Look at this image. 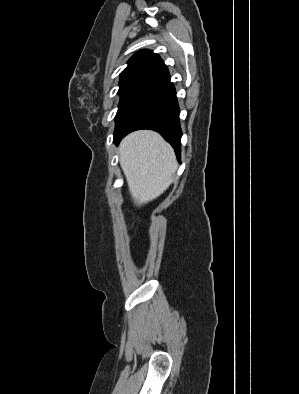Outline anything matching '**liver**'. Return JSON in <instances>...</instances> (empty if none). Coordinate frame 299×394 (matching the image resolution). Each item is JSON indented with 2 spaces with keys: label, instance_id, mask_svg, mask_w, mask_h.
Here are the masks:
<instances>
[{
  "label": "liver",
  "instance_id": "liver-1",
  "mask_svg": "<svg viewBox=\"0 0 299 394\" xmlns=\"http://www.w3.org/2000/svg\"><path fill=\"white\" fill-rule=\"evenodd\" d=\"M120 165L134 204L141 206L160 196L177 170L173 148L156 132L136 131L120 146Z\"/></svg>",
  "mask_w": 299,
  "mask_h": 394
}]
</instances>
